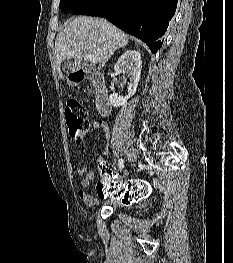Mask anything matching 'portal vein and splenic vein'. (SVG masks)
Listing matches in <instances>:
<instances>
[{
  "label": "portal vein and splenic vein",
  "instance_id": "1",
  "mask_svg": "<svg viewBox=\"0 0 233 263\" xmlns=\"http://www.w3.org/2000/svg\"><path fill=\"white\" fill-rule=\"evenodd\" d=\"M72 53H74V51H72ZM85 59L92 63H97V58L90 53H85Z\"/></svg>",
  "mask_w": 233,
  "mask_h": 263
}]
</instances>
